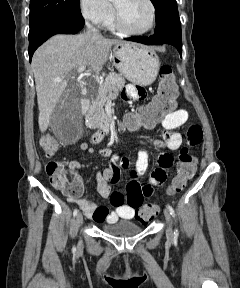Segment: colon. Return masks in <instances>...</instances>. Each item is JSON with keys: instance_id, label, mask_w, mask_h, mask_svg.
<instances>
[{"instance_id": "obj_1", "label": "colon", "mask_w": 240, "mask_h": 288, "mask_svg": "<svg viewBox=\"0 0 240 288\" xmlns=\"http://www.w3.org/2000/svg\"><path fill=\"white\" fill-rule=\"evenodd\" d=\"M178 88L175 75L170 66L160 68L157 92L152 100L138 108L135 113L125 118L127 127H152L171 113L176 106ZM41 146L48 157H52L58 150L57 141L50 135H44L40 140ZM196 171V158L188 148H183L177 164V174L169 186L170 195L182 191ZM46 173L51 184L68 196L81 194L82 181L71 174L61 161L51 160L46 165ZM127 203L135 209V217L140 222L152 220L159 212L155 203L143 204V198L136 190H131L126 195Z\"/></svg>"}]
</instances>
